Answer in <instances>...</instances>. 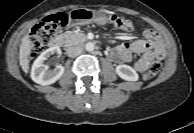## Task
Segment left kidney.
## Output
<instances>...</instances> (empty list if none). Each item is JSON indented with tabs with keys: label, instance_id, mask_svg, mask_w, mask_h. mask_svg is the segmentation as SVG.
Masks as SVG:
<instances>
[{
	"label": "left kidney",
	"instance_id": "left-kidney-1",
	"mask_svg": "<svg viewBox=\"0 0 194 133\" xmlns=\"http://www.w3.org/2000/svg\"><path fill=\"white\" fill-rule=\"evenodd\" d=\"M116 73L126 81H137L139 78L137 72L129 65H118L116 67Z\"/></svg>",
	"mask_w": 194,
	"mask_h": 133
}]
</instances>
